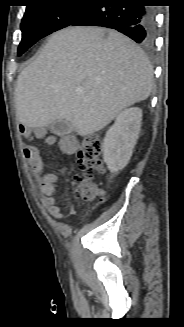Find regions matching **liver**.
<instances>
[{
  "label": "liver",
  "instance_id": "obj_1",
  "mask_svg": "<svg viewBox=\"0 0 184 327\" xmlns=\"http://www.w3.org/2000/svg\"><path fill=\"white\" fill-rule=\"evenodd\" d=\"M152 88L153 68L131 39L100 27H68L19 74L16 111L26 127L65 119L86 136L147 99Z\"/></svg>",
  "mask_w": 184,
  "mask_h": 327
}]
</instances>
